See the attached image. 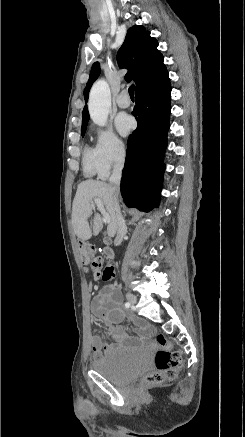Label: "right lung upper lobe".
<instances>
[{
  "label": "right lung upper lobe",
  "instance_id": "1",
  "mask_svg": "<svg viewBox=\"0 0 245 437\" xmlns=\"http://www.w3.org/2000/svg\"><path fill=\"white\" fill-rule=\"evenodd\" d=\"M158 42L150 37V32L143 26L134 25L128 31L126 38L117 54L121 68L128 69L127 81L134 80L136 92L168 81V71L164 65L163 55L157 49ZM100 74V66L95 62L91 68L90 77L84 90L85 102L93 82ZM89 112L87 106L83 109L82 126H87Z\"/></svg>",
  "mask_w": 245,
  "mask_h": 437
}]
</instances>
